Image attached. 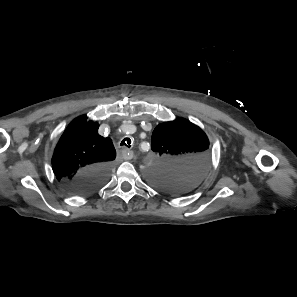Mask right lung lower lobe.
Returning <instances> with one entry per match:
<instances>
[{"label": "right lung lower lobe", "instance_id": "98d812e1", "mask_svg": "<svg viewBox=\"0 0 297 297\" xmlns=\"http://www.w3.org/2000/svg\"><path fill=\"white\" fill-rule=\"evenodd\" d=\"M111 165L100 164L79 172L68 185L75 194H87L101 187L110 175Z\"/></svg>", "mask_w": 297, "mask_h": 297}]
</instances>
